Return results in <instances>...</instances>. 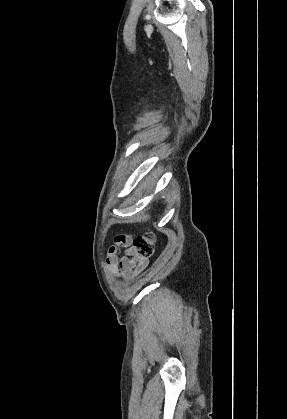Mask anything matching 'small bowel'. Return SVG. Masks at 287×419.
Listing matches in <instances>:
<instances>
[{
    "label": "small bowel",
    "mask_w": 287,
    "mask_h": 419,
    "mask_svg": "<svg viewBox=\"0 0 287 419\" xmlns=\"http://www.w3.org/2000/svg\"><path fill=\"white\" fill-rule=\"evenodd\" d=\"M132 236L117 234L108 249L106 263L117 277L125 280L135 278L146 266V260L139 258L131 246ZM125 249L124 255L122 250Z\"/></svg>",
    "instance_id": "obj_1"
}]
</instances>
